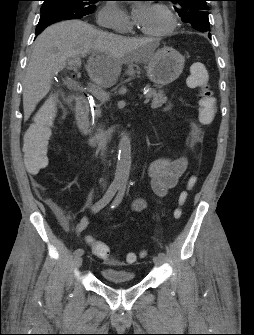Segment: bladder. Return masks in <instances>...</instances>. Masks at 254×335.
<instances>
[{
    "label": "bladder",
    "instance_id": "1",
    "mask_svg": "<svg viewBox=\"0 0 254 335\" xmlns=\"http://www.w3.org/2000/svg\"><path fill=\"white\" fill-rule=\"evenodd\" d=\"M101 275L106 282L114 285L130 284L136 280L134 272L120 268H104Z\"/></svg>",
    "mask_w": 254,
    "mask_h": 335
}]
</instances>
